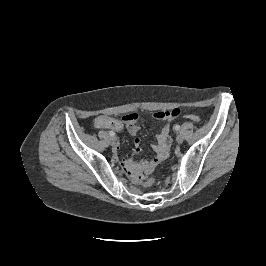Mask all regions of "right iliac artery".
<instances>
[{
  "label": "right iliac artery",
  "mask_w": 266,
  "mask_h": 266,
  "mask_svg": "<svg viewBox=\"0 0 266 266\" xmlns=\"http://www.w3.org/2000/svg\"><path fill=\"white\" fill-rule=\"evenodd\" d=\"M109 135L113 137V136H115V132L110 131V132H109Z\"/></svg>",
  "instance_id": "1"
}]
</instances>
